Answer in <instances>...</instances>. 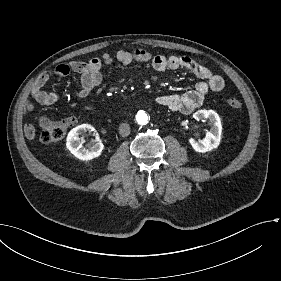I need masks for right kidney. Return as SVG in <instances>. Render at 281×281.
Here are the masks:
<instances>
[{"mask_svg": "<svg viewBox=\"0 0 281 281\" xmlns=\"http://www.w3.org/2000/svg\"><path fill=\"white\" fill-rule=\"evenodd\" d=\"M87 131L95 136V139H92L90 143L84 147L79 136ZM103 148L104 145L102 144L97 131L92 125L81 124L70 131V152L78 159L91 160L95 157H98Z\"/></svg>", "mask_w": 281, "mask_h": 281, "instance_id": "ca27d5eb", "label": "right kidney"}]
</instances>
